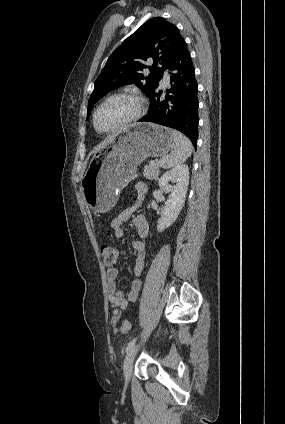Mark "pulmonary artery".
Returning a JSON list of instances; mask_svg holds the SVG:
<instances>
[{"label":"pulmonary artery","mask_w":285,"mask_h":424,"mask_svg":"<svg viewBox=\"0 0 285 424\" xmlns=\"http://www.w3.org/2000/svg\"><path fill=\"white\" fill-rule=\"evenodd\" d=\"M168 83H169V76L168 75H164L163 84L166 85Z\"/></svg>","instance_id":"1"}]
</instances>
